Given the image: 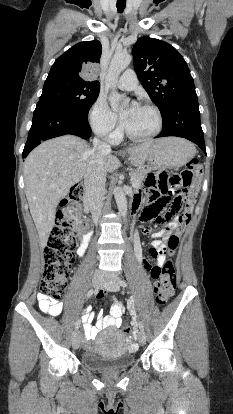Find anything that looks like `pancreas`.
<instances>
[{
  "label": "pancreas",
  "mask_w": 233,
  "mask_h": 414,
  "mask_svg": "<svg viewBox=\"0 0 233 414\" xmlns=\"http://www.w3.org/2000/svg\"><path fill=\"white\" fill-rule=\"evenodd\" d=\"M151 171V168L149 169H143V170H134L130 172V176H131V183H134L135 186H133L134 188H139L142 184V181L145 177V175Z\"/></svg>",
  "instance_id": "cf45deb5"
}]
</instances>
